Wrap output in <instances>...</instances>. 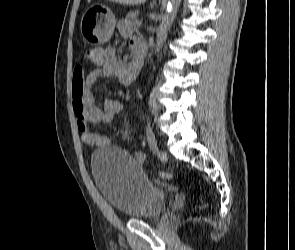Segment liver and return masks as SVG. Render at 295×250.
I'll return each mask as SVG.
<instances>
[{"label": "liver", "mask_w": 295, "mask_h": 250, "mask_svg": "<svg viewBox=\"0 0 295 250\" xmlns=\"http://www.w3.org/2000/svg\"><path fill=\"white\" fill-rule=\"evenodd\" d=\"M109 1L119 3V4H124V5H139L146 2V0H109Z\"/></svg>", "instance_id": "1"}]
</instances>
